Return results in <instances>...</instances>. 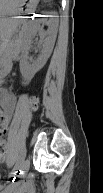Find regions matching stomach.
Wrapping results in <instances>:
<instances>
[{
  "label": "stomach",
  "instance_id": "0dacf381",
  "mask_svg": "<svg viewBox=\"0 0 103 193\" xmlns=\"http://www.w3.org/2000/svg\"><path fill=\"white\" fill-rule=\"evenodd\" d=\"M39 0H0V16L2 17L1 56L9 50L7 48L11 37L6 33L11 31L7 17L31 13L35 10Z\"/></svg>",
  "mask_w": 103,
  "mask_h": 193
}]
</instances>
